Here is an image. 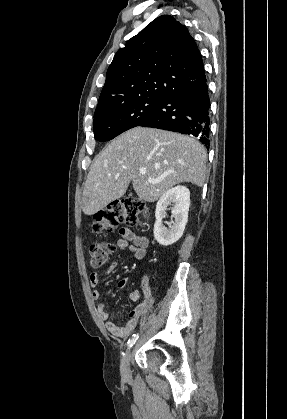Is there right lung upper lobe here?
<instances>
[{
	"label": "right lung upper lobe",
	"mask_w": 287,
	"mask_h": 419,
	"mask_svg": "<svg viewBox=\"0 0 287 419\" xmlns=\"http://www.w3.org/2000/svg\"><path fill=\"white\" fill-rule=\"evenodd\" d=\"M206 78L187 28L163 15L128 40L110 64L96 112L141 98H164Z\"/></svg>",
	"instance_id": "1"
}]
</instances>
